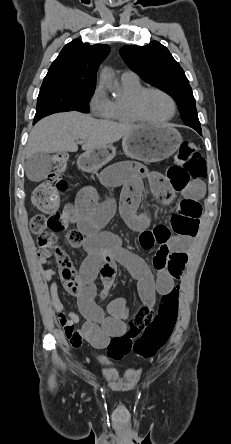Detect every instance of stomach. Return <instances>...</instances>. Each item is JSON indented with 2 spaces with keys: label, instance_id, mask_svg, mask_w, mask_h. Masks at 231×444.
Here are the masks:
<instances>
[{
  "label": "stomach",
  "instance_id": "0dacf381",
  "mask_svg": "<svg viewBox=\"0 0 231 444\" xmlns=\"http://www.w3.org/2000/svg\"><path fill=\"white\" fill-rule=\"evenodd\" d=\"M182 143L180 133L168 124H148L138 126L124 136L122 146L125 154L143 162H157L173 155ZM116 150L112 145L85 153L78 159V167L92 172L108 163Z\"/></svg>",
  "mask_w": 231,
  "mask_h": 444
}]
</instances>
